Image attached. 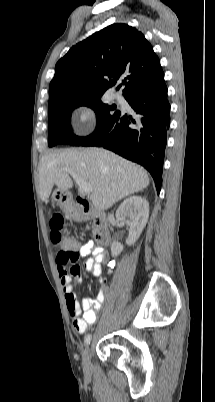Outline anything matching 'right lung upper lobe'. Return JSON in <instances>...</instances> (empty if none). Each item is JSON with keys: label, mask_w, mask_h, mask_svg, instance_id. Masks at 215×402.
<instances>
[{"label": "right lung upper lobe", "mask_w": 215, "mask_h": 402, "mask_svg": "<svg viewBox=\"0 0 215 402\" xmlns=\"http://www.w3.org/2000/svg\"><path fill=\"white\" fill-rule=\"evenodd\" d=\"M122 79L126 98L134 91L157 87L164 72L152 45L137 29L113 24L74 45L55 66L49 102L60 97L103 95Z\"/></svg>", "instance_id": "1"}]
</instances>
